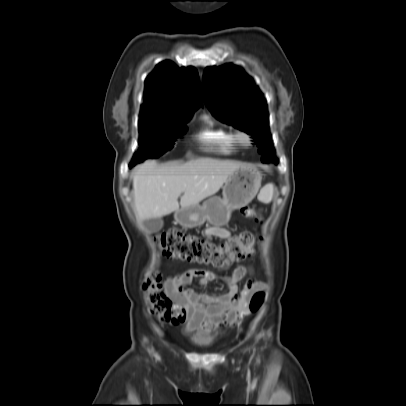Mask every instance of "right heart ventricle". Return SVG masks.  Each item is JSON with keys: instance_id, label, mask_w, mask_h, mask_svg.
I'll list each match as a JSON object with an SVG mask.
<instances>
[{"instance_id": "e07e8e85", "label": "right heart ventricle", "mask_w": 406, "mask_h": 406, "mask_svg": "<svg viewBox=\"0 0 406 406\" xmlns=\"http://www.w3.org/2000/svg\"><path fill=\"white\" fill-rule=\"evenodd\" d=\"M203 127L197 133L196 138L207 149L221 153H232L236 151L238 143L235 140L234 132L227 127L217 125L209 116L202 117Z\"/></svg>"}]
</instances>
